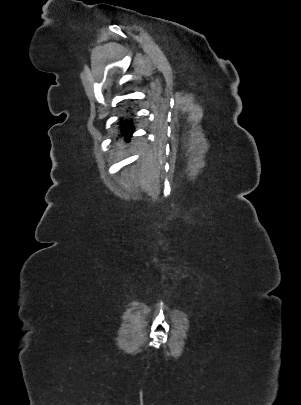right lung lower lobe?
Here are the masks:
<instances>
[{
  "mask_svg": "<svg viewBox=\"0 0 301 405\" xmlns=\"http://www.w3.org/2000/svg\"><path fill=\"white\" fill-rule=\"evenodd\" d=\"M119 126V137H121L125 142H129L132 137L135 127L133 124V114H127L123 117H120L117 122Z\"/></svg>",
  "mask_w": 301,
  "mask_h": 405,
  "instance_id": "98d812e1",
  "label": "right lung lower lobe"
}]
</instances>
